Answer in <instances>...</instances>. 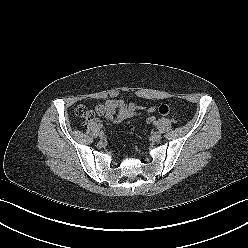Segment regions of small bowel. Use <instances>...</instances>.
Here are the masks:
<instances>
[{"instance_id": "obj_1", "label": "small bowel", "mask_w": 248, "mask_h": 248, "mask_svg": "<svg viewBox=\"0 0 248 248\" xmlns=\"http://www.w3.org/2000/svg\"><path fill=\"white\" fill-rule=\"evenodd\" d=\"M95 111L97 115L104 116L115 123H120L145 113L158 112L162 116L170 114V108L166 104L147 107L138 106L134 103L126 104L122 100H107L104 104L97 105Z\"/></svg>"}]
</instances>
